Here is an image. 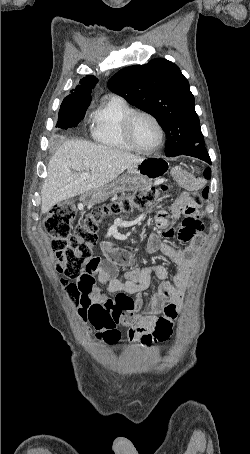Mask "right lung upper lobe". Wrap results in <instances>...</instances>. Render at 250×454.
<instances>
[{
  "mask_svg": "<svg viewBox=\"0 0 250 454\" xmlns=\"http://www.w3.org/2000/svg\"><path fill=\"white\" fill-rule=\"evenodd\" d=\"M98 82V79L95 76L88 75L85 78L80 80V85H78L74 90L71 91V94L65 97L62 104H73L80 102H91V91Z\"/></svg>",
  "mask_w": 250,
  "mask_h": 454,
  "instance_id": "obj_1",
  "label": "right lung upper lobe"
}]
</instances>
